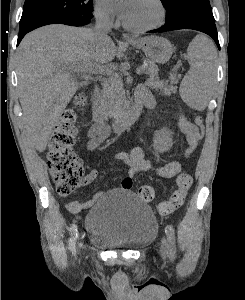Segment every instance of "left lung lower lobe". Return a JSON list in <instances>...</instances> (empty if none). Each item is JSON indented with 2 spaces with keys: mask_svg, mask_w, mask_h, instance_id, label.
Returning <instances> with one entry per match:
<instances>
[{
  "mask_svg": "<svg viewBox=\"0 0 245 300\" xmlns=\"http://www.w3.org/2000/svg\"><path fill=\"white\" fill-rule=\"evenodd\" d=\"M178 29H193L208 34L220 49L215 21L194 15H182L176 20L166 23L163 27L150 32H166Z\"/></svg>",
  "mask_w": 245,
  "mask_h": 300,
  "instance_id": "left-lung-lower-lobe-1",
  "label": "left lung lower lobe"
}]
</instances>
